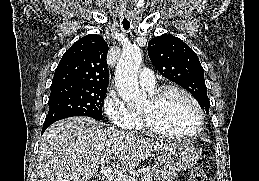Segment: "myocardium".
I'll use <instances>...</instances> for the list:
<instances>
[{
  "instance_id": "obj_1",
  "label": "myocardium",
  "mask_w": 259,
  "mask_h": 181,
  "mask_svg": "<svg viewBox=\"0 0 259 181\" xmlns=\"http://www.w3.org/2000/svg\"><path fill=\"white\" fill-rule=\"evenodd\" d=\"M169 92L181 93L193 104L198 114L199 121H198L197 128L194 131L189 133L170 132L156 126L155 123L153 122L152 115L150 112H140V116L146 131L157 136L174 138V139H189L199 135L202 132L205 124L204 111L201 105L199 104V102L197 101V99L185 88L180 87L178 85H163L159 88H156L153 91H151L149 95V100L151 102V105L153 107L157 106L159 102L162 100V98Z\"/></svg>"
}]
</instances>
